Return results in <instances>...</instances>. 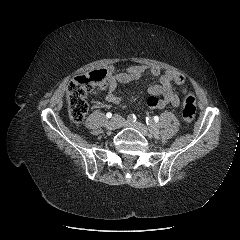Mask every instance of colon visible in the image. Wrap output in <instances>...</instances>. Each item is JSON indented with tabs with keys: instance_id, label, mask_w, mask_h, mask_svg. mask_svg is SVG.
Here are the masks:
<instances>
[{
	"instance_id": "colon-1",
	"label": "colon",
	"mask_w": 240,
	"mask_h": 240,
	"mask_svg": "<svg viewBox=\"0 0 240 240\" xmlns=\"http://www.w3.org/2000/svg\"><path fill=\"white\" fill-rule=\"evenodd\" d=\"M106 77V70L99 69L77 76L70 82L67 89L68 114L75 124H80L88 112L87 94L95 87L101 88ZM195 114V97L190 91L184 90L182 117L185 122L191 123Z\"/></svg>"
}]
</instances>
